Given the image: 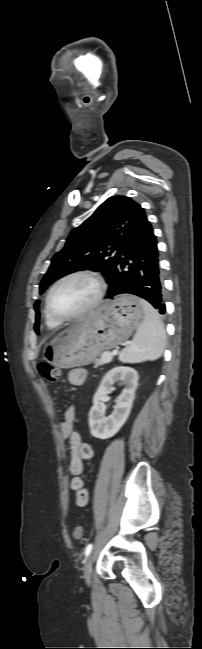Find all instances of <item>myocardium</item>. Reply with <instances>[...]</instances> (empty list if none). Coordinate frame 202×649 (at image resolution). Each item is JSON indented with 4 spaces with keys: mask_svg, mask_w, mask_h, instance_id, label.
<instances>
[{
    "mask_svg": "<svg viewBox=\"0 0 202 649\" xmlns=\"http://www.w3.org/2000/svg\"><path fill=\"white\" fill-rule=\"evenodd\" d=\"M73 277H85L90 279L96 286V294L93 298V300L85 306L83 309L78 311L77 313L67 316V317H62L56 314L50 305V299L55 291V289L64 281L73 278ZM107 285L106 281L102 277L101 274H99L96 271L90 270V269H78V270H73L71 272H68L61 277H59L49 288L47 295L45 297V310L47 314L56 322L58 323H64V322H69L76 320L88 313H90L92 310H94L102 301L105 293H106Z\"/></svg>",
    "mask_w": 202,
    "mask_h": 649,
    "instance_id": "f54148a6",
    "label": "myocardium"
}]
</instances>
